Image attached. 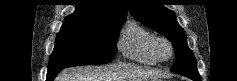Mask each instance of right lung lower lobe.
Returning <instances> with one entry per match:
<instances>
[{
	"instance_id": "98d812e1",
	"label": "right lung lower lobe",
	"mask_w": 237,
	"mask_h": 81,
	"mask_svg": "<svg viewBox=\"0 0 237 81\" xmlns=\"http://www.w3.org/2000/svg\"><path fill=\"white\" fill-rule=\"evenodd\" d=\"M61 70L54 71V72H47V79L46 81H52L55 79V77L59 74Z\"/></svg>"
}]
</instances>
